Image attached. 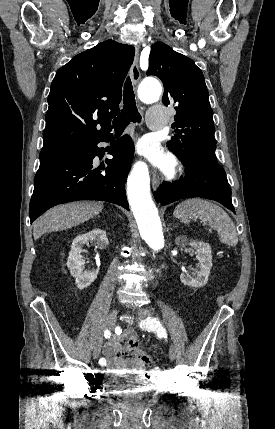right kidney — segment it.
I'll use <instances>...</instances> for the list:
<instances>
[{
    "instance_id": "obj_1",
    "label": "right kidney",
    "mask_w": 275,
    "mask_h": 429,
    "mask_svg": "<svg viewBox=\"0 0 275 429\" xmlns=\"http://www.w3.org/2000/svg\"><path fill=\"white\" fill-rule=\"evenodd\" d=\"M89 242L99 249H105L109 243L106 232L101 229L91 230L85 234L77 236L73 240L67 260V267L69 268L71 275L75 278V283L80 290L87 288L95 281L99 270H85V259L81 255V252L83 245L89 244Z\"/></svg>"
}]
</instances>
